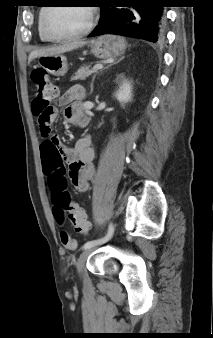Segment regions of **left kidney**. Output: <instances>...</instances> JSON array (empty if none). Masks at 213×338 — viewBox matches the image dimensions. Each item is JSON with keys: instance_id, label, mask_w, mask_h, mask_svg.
I'll return each instance as SVG.
<instances>
[{"instance_id": "1", "label": "left kidney", "mask_w": 213, "mask_h": 338, "mask_svg": "<svg viewBox=\"0 0 213 338\" xmlns=\"http://www.w3.org/2000/svg\"><path fill=\"white\" fill-rule=\"evenodd\" d=\"M132 89L131 83L129 81H124L115 93L116 99L122 104L131 102L133 97Z\"/></svg>"}]
</instances>
